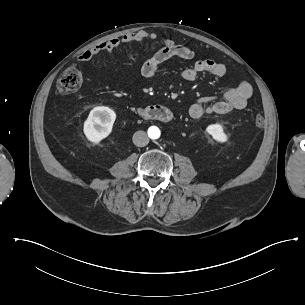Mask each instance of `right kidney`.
Wrapping results in <instances>:
<instances>
[{"label":"right kidney","instance_id":"right-kidney-1","mask_svg":"<svg viewBox=\"0 0 305 305\" xmlns=\"http://www.w3.org/2000/svg\"><path fill=\"white\" fill-rule=\"evenodd\" d=\"M102 119H106V121L102 122ZM115 120L116 113L113 109L104 106L93 108L83 124L85 139L94 145H99L106 130L112 129Z\"/></svg>","mask_w":305,"mask_h":305}]
</instances>
